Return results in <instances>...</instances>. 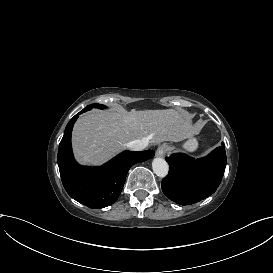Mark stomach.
Here are the masks:
<instances>
[{"label":"stomach","mask_w":273,"mask_h":273,"mask_svg":"<svg viewBox=\"0 0 273 273\" xmlns=\"http://www.w3.org/2000/svg\"><path fill=\"white\" fill-rule=\"evenodd\" d=\"M163 146L166 147L167 151L172 150V147L168 146L167 144H164ZM183 148L188 152H193L198 148V142L197 140L187 141L184 143Z\"/></svg>","instance_id":"0dacf381"}]
</instances>
